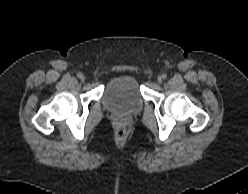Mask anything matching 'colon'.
I'll return each mask as SVG.
<instances>
[{
	"instance_id": "colon-1",
	"label": "colon",
	"mask_w": 248,
	"mask_h": 194,
	"mask_svg": "<svg viewBox=\"0 0 248 194\" xmlns=\"http://www.w3.org/2000/svg\"><path fill=\"white\" fill-rule=\"evenodd\" d=\"M115 133H116V137L118 139H122L125 136V129L122 126H118L116 128V132Z\"/></svg>"
}]
</instances>
